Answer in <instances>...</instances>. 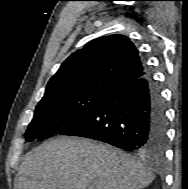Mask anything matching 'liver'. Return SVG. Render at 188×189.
Segmentation results:
<instances>
[{
  "label": "liver",
  "mask_w": 188,
  "mask_h": 189,
  "mask_svg": "<svg viewBox=\"0 0 188 189\" xmlns=\"http://www.w3.org/2000/svg\"><path fill=\"white\" fill-rule=\"evenodd\" d=\"M153 173L119 149L86 138L58 137L30 151L17 189H142Z\"/></svg>",
  "instance_id": "obj_1"
}]
</instances>
